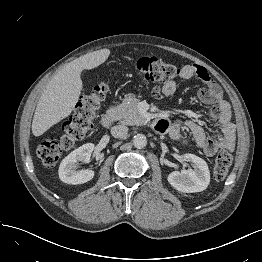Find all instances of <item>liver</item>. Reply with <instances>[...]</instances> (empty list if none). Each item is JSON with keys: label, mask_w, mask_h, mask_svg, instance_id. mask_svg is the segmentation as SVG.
<instances>
[{"label": "liver", "mask_w": 262, "mask_h": 262, "mask_svg": "<svg viewBox=\"0 0 262 262\" xmlns=\"http://www.w3.org/2000/svg\"><path fill=\"white\" fill-rule=\"evenodd\" d=\"M109 55L110 50L106 48L85 54L68 63L52 77L43 90L34 113V136H41L70 115L83 89L81 72L98 67Z\"/></svg>", "instance_id": "liver-1"}]
</instances>
